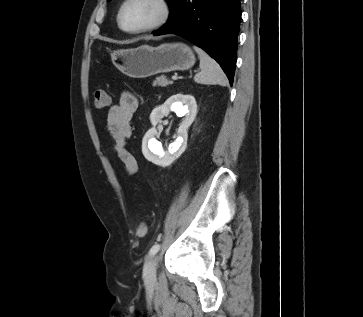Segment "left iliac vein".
I'll return each instance as SVG.
<instances>
[{"mask_svg":"<svg viewBox=\"0 0 363 317\" xmlns=\"http://www.w3.org/2000/svg\"><path fill=\"white\" fill-rule=\"evenodd\" d=\"M157 265H158V256H155L150 261L146 270L145 280L147 282H153L156 280Z\"/></svg>","mask_w":363,"mask_h":317,"instance_id":"left-iliac-vein-1","label":"left iliac vein"}]
</instances>
